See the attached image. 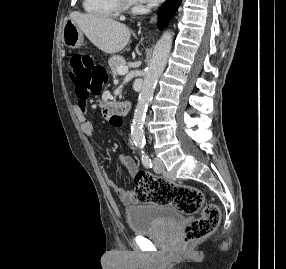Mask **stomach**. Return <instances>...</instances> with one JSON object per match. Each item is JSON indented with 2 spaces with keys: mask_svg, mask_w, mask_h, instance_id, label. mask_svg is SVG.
<instances>
[{
  "mask_svg": "<svg viewBox=\"0 0 286 269\" xmlns=\"http://www.w3.org/2000/svg\"><path fill=\"white\" fill-rule=\"evenodd\" d=\"M62 41L69 48H79L83 44V32L74 21L68 20L64 24Z\"/></svg>",
  "mask_w": 286,
  "mask_h": 269,
  "instance_id": "stomach-1",
  "label": "stomach"
}]
</instances>
